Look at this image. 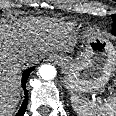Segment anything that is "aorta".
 Masks as SVG:
<instances>
[{
    "label": "aorta",
    "mask_w": 116,
    "mask_h": 116,
    "mask_svg": "<svg viewBox=\"0 0 116 116\" xmlns=\"http://www.w3.org/2000/svg\"><path fill=\"white\" fill-rule=\"evenodd\" d=\"M39 74L44 80H52L56 77L57 71L54 66L46 64L39 68Z\"/></svg>",
    "instance_id": "aorta-1"
}]
</instances>
